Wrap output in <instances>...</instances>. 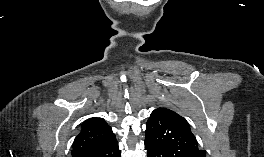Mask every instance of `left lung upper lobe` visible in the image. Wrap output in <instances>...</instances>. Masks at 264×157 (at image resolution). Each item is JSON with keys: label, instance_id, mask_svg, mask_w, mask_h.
I'll return each instance as SVG.
<instances>
[{"label": "left lung upper lobe", "instance_id": "obj_1", "mask_svg": "<svg viewBox=\"0 0 264 157\" xmlns=\"http://www.w3.org/2000/svg\"><path fill=\"white\" fill-rule=\"evenodd\" d=\"M145 142L160 148L164 157H206L198 148L189 123L176 112L160 107L147 120Z\"/></svg>", "mask_w": 264, "mask_h": 157}]
</instances>
